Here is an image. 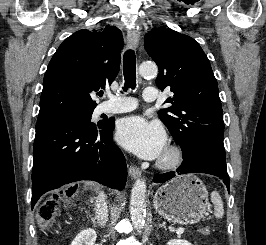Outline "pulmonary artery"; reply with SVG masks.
<instances>
[{"label": "pulmonary artery", "instance_id": "1", "mask_svg": "<svg viewBox=\"0 0 266 245\" xmlns=\"http://www.w3.org/2000/svg\"><path fill=\"white\" fill-rule=\"evenodd\" d=\"M145 90L146 96H144V101L160 100V97L157 96L158 92L154 91V86H146ZM108 98L109 102L103 103L101 105V111L106 114L130 112L136 108V104H139V101H137V96H129L128 100L122 96L108 94ZM133 101H136V104L133 103Z\"/></svg>", "mask_w": 266, "mask_h": 245}]
</instances>
